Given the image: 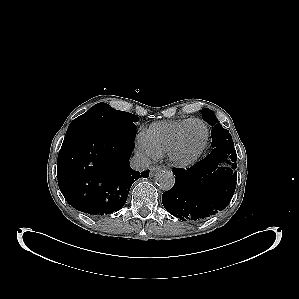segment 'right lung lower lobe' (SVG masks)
Wrapping results in <instances>:
<instances>
[{
    "instance_id": "1",
    "label": "right lung lower lobe",
    "mask_w": 299,
    "mask_h": 299,
    "mask_svg": "<svg viewBox=\"0 0 299 299\" xmlns=\"http://www.w3.org/2000/svg\"><path fill=\"white\" fill-rule=\"evenodd\" d=\"M136 130L101 129L66 132L57 160V179L73 208L102 216L119 211L131 185L149 170H133L129 158Z\"/></svg>"
}]
</instances>
